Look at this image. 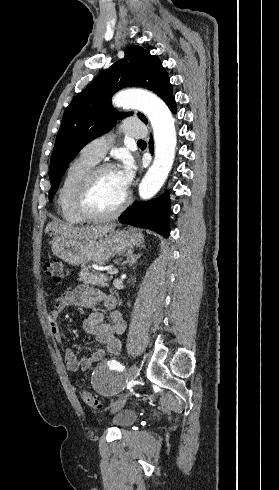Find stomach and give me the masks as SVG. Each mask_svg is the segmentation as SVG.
<instances>
[{"instance_id":"1","label":"stomach","mask_w":279,"mask_h":490,"mask_svg":"<svg viewBox=\"0 0 279 490\" xmlns=\"http://www.w3.org/2000/svg\"><path fill=\"white\" fill-rule=\"evenodd\" d=\"M143 242L144 236L136 228H129L128 232H125V230H115L114 226L104 236L90 242H75L57 236L50 244L54 256L70 266H85L91 262L105 266L113 256H121Z\"/></svg>"}]
</instances>
